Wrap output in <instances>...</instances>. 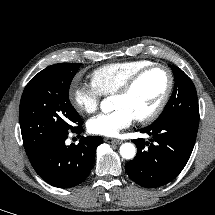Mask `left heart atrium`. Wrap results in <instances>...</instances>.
I'll list each match as a JSON object with an SVG mask.
<instances>
[{
  "mask_svg": "<svg viewBox=\"0 0 215 215\" xmlns=\"http://www.w3.org/2000/svg\"><path fill=\"white\" fill-rule=\"evenodd\" d=\"M135 120L133 114L126 108H117L107 114H100L88 121V130L96 135L115 137L121 130L129 127Z\"/></svg>",
  "mask_w": 215,
  "mask_h": 215,
  "instance_id": "1",
  "label": "left heart atrium"
}]
</instances>
